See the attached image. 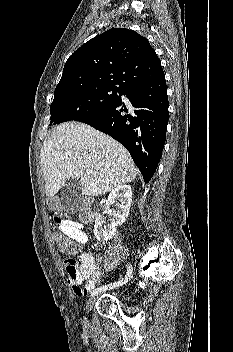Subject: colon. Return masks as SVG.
<instances>
[{"mask_svg":"<svg viewBox=\"0 0 233 352\" xmlns=\"http://www.w3.org/2000/svg\"><path fill=\"white\" fill-rule=\"evenodd\" d=\"M77 216L79 220L83 223H91L94 220L95 216L91 207V201L89 199H85L82 202L81 206L77 211ZM53 239L58 245L60 251L67 256L72 257L76 255L80 250L79 244L71 240L67 236L56 233L54 234ZM94 270H95L94 266L79 269L80 273L82 274H90Z\"/></svg>","mask_w":233,"mask_h":352,"instance_id":"obj_1","label":"colon"}]
</instances>
